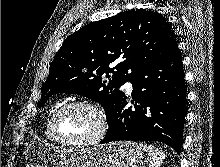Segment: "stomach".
I'll return each mask as SVG.
<instances>
[{"label":"stomach","mask_w":220,"mask_h":167,"mask_svg":"<svg viewBox=\"0 0 220 167\" xmlns=\"http://www.w3.org/2000/svg\"><path fill=\"white\" fill-rule=\"evenodd\" d=\"M143 152L135 142L91 148H62L33 142L25 151L27 167H141Z\"/></svg>","instance_id":"0dacf381"}]
</instances>
